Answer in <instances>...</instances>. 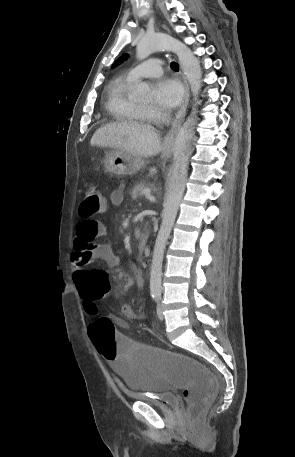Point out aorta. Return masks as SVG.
<instances>
[{
	"mask_svg": "<svg viewBox=\"0 0 295 457\" xmlns=\"http://www.w3.org/2000/svg\"><path fill=\"white\" fill-rule=\"evenodd\" d=\"M160 50H171L178 56L180 66L190 84L191 92L194 97L193 100L196 102L202 87V71L199 60L184 43L163 33H154L152 35L144 36L137 44L136 56L138 59L142 60L153 52ZM149 93L150 88L147 83L142 82L137 85L135 90L136 96L147 97ZM197 123L198 116L195 103L191 114L179 129L174 143L173 168L169 178L168 193L162 212V223L156 238L151 264V294H161L164 251L185 190L191 141L194 137Z\"/></svg>",
	"mask_w": 295,
	"mask_h": 457,
	"instance_id": "obj_1",
	"label": "aorta"
}]
</instances>
